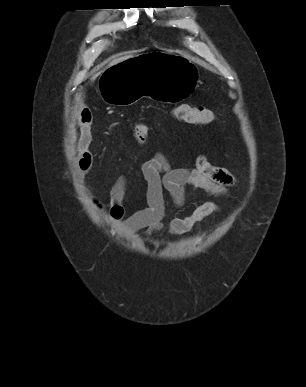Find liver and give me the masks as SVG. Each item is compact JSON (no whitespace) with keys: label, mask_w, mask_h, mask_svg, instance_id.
Masks as SVG:
<instances>
[{"label":"liver","mask_w":306,"mask_h":387,"mask_svg":"<svg viewBox=\"0 0 306 387\" xmlns=\"http://www.w3.org/2000/svg\"><path fill=\"white\" fill-rule=\"evenodd\" d=\"M132 57H133V56L129 55V56H124V57H120V58H118V59H115V60H113V61L110 63V66L116 65V64H118V63H120V62H122V61H125V60H127V59H130V58H132Z\"/></svg>","instance_id":"6515ba94"}]
</instances>
